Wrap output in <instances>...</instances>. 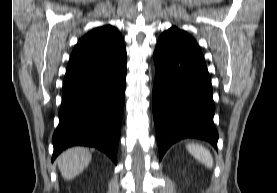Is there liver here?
<instances>
[{"label":"liver","instance_id":"6515ba94","mask_svg":"<svg viewBox=\"0 0 277 193\" xmlns=\"http://www.w3.org/2000/svg\"><path fill=\"white\" fill-rule=\"evenodd\" d=\"M92 155L88 149L74 147L57 158L58 168L64 179L70 180L79 175L89 165Z\"/></svg>","mask_w":277,"mask_h":193}]
</instances>
